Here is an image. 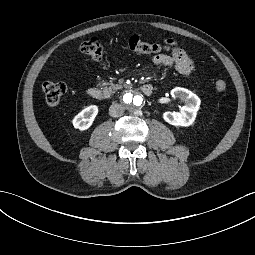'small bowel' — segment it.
Returning <instances> with one entry per match:
<instances>
[{
  "instance_id": "c3829d8e",
  "label": "small bowel",
  "mask_w": 255,
  "mask_h": 255,
  "mask_svg": "<svg viewBox=\"0 0 255 255\" xmlns=\"http://www.w3.org/2000/svg\"><path fill=\"white\" fill-rule=\"evenodd\" d=\"M168 43L172 45L171 41H168ZM152 61L155 65L175 69L182 75H189L195 71L193 59L181 49H174L171 54H156Z\"/></svg>"
}]
</instances>
